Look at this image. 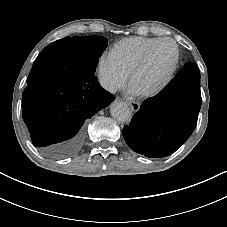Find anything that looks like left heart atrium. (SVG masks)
<instances>
[{"mask_svg":"<svg viewBox=\"0 0 227 227\" xmlns=\"http://www.w3.org/2000/svg\"><path fill=\"white\" fill-rule=\"evenodd\" d=\"M128 92L129 94L131 95H137L138 92L135 90V88L133 86H131L129 89H128Z\"/></svg>","mask_w":227,"mask_h":227,"instance_id":"obj_1","label":"left heart atrium"}]
</instances>
